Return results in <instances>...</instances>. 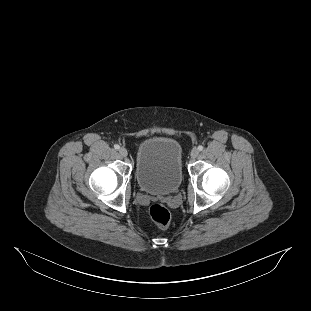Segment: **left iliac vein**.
Listing matches in <instances>:
<instances>
[{
    "instance_id": "1",
    "label": "left iliac vein",
    "mask_w": 311,
    "mask_h": 311,
    "mask_svg": "<svg viewBox=\"0 0 311 311\" xmlns=\"http://www.w3.org/2000/svg\"><path fill=\"white\" fill-rule=\"evenodd\" d=\"M198 154H199L198 148L194 147V148L191 150V153H190L191 157H192V158H196V157L198 156Z\"/></svg>"
}]
</instances>
